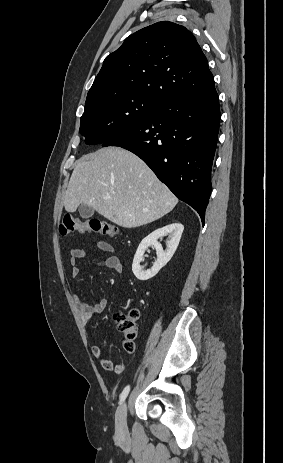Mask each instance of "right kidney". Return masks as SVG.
<instances>
[{
	"label": "right kidney",
	"instance_id": "obj_1",
	"mask_svg": "<svg viewBox=\"0 0 283 463\" xmlns=\"http://www.w3.org/2000/svg\"><path fill=\"white\" fill-rule=\"evenodd\" d=\"M183 230L184 226L182 224L172 223L155 230L141 241L132 264V271L137 279L145 281L154 277L169 262L178 247ZM165 235H169L170 240L167 243V249L164 251L158 239ZM151 245L156 249L157 260L151 269L143 270L140 263L143 260L145 250Z\"/></svg>",
	"mask_w": 283,
	"mask_h": 463
}]
</instances>
